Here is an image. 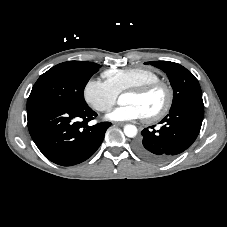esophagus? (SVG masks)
<instances>
[{
  "mask_svg": "<svg viewBox=\"0 0 227 227\" xmlns=\"http://www.w3.org/2000/svg\"><path fill=\"white\" fill-rule=\"evenodd\" d=\"M114 125H116V126H124L125 123H123V122H115Z\"/></svg>",
  "mask_w": 227,
  "mask_h": 227,
  "instance_id": "obj_1",
  "label": "esophagus"
}]
</instances>
